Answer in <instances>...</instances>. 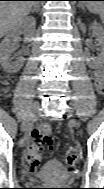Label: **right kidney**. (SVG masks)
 <instances>
[{
  "mask_svg": "<svg viewBox=\"0 0 104 189\" xmlns=\"http://www.w3.org/2000/svg\"><path fill=\"white\" fill-rule=\"evenodd\" d=\"M36 21L33 17H25L20 20L15 29L7 33L0 43V63L7 73H16L24 64V58L15 61L11 58V53L17 49V42L21 33L30 34L35 30Z\"/></svg>",
  "mask_w": 104,
  "mask_h": 189,
  "instance_id": "1",
  "label": "right kidney"
}]
</instances>
